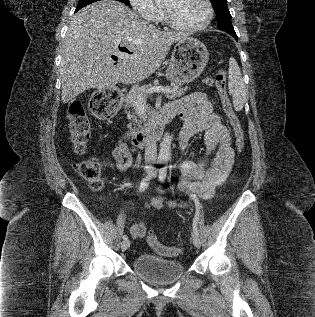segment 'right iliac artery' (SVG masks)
Instances as JSON below:
<instances>
[{
  "label": "right iliac artery",
  "instance_id": "obj_1",
  "mask_svg": "<svg viewBox=\"0 0 315 317\" xmlns=\"http://www.w3.org/2000/svg\"><path fill=\"white\" fill-rule=\"evenodd\" d=\"M160 164H161V161H157V165H160ZM155 172H156V168H153V172L142 180L139 187L140 192H144L147 189L149 182ZM127 239H128L127 235H123V240H127Z\"/></svg>",
  "mask_w": 315,
  "mask_h": 317
}]
</instances>
